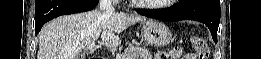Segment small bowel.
<instances>
[{"label":"small bowel","mask_w":261,"mask_h":59,"mask_svg":"<svg viewBox=\"0 0 261 59\" xmlns=\"http://www.w3.org/2000/svg\"><path fill=\"white\" fill-rule=\"evenodd\" d=\"M185 57H186L185 59H195V58H192V57H194V54H190V53L186 54ZM169 58H171L169 56V54L164 51H160L156 55V59H169Z\"/></svg>","instance_id":"c3829d8e"}]
</instances>
